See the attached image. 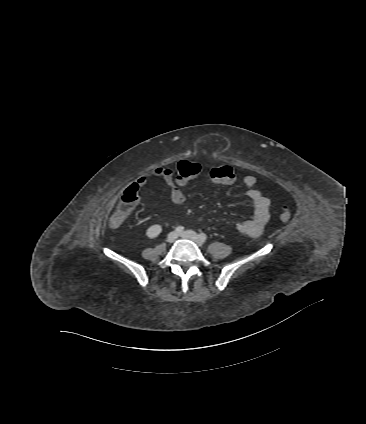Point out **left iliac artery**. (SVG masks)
Masks as SVG:
<instances>
[{
    "instance_id": "44dca946",
    "label": "left iliac artery",
    "mask_w": 366,
    "mask_h": 424,
    "mask_svg": "<svg viewBox=\"0 0 366 424\" xmlns=\"http://www.w3.org/2000/svg\"><path fill=\"white\" fill-rule=\"evenodd\" d=\"M203 241H205L206 239H207V235L206 234H204V233H200L199 235H198Z\"/></svg>"
}]
</instances>
